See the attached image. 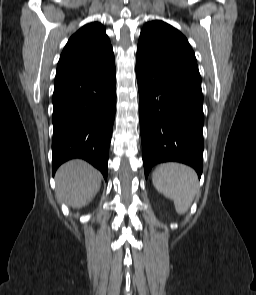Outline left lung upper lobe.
<instances>
[{
	"mask_svg": "<svg viewBox=\"0 0 256 295\" xmlns=\"http://www.w3.org/2000/svg\"><path fill=\"white\" fill-rule=\"evenodd\" d=\"M136 65L164 83L202 96L201 76L190 44L182 33L163 21H151L143 27Z\"/></svg>",
	"mask_w": 256,
	"mask_h": 295,
	"instance_id": "left-lung-upper-lobe-1",
	"label": "left lung upper lobe"
}]
</instances>
